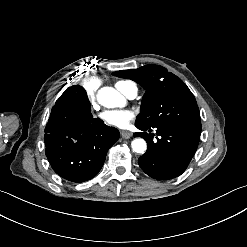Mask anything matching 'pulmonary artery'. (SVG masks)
Returning <instances> with one entry per match:
<instances>
[{
	"label": "pulmonary artery",
	"mask_w": 247,
	"mask_h": 247,
	"mask_svg": "<svg viewBox=\"0 0 247 247\" xmlns=\"http://www.w3.org/2000/svg\"><path fill=\"white\" fill-rule=\"evenodd\" d=\"M123 91L129 98H133L137 94L136 88L134 86L124 85Z\"/></svg>",
	"instance_id": "1"
}]
</instances>
